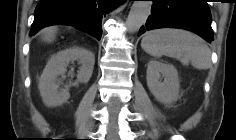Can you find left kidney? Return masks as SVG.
I'll list each match as a JSON object with an SVG mask.
<instances>
[{
  "label": "left kidney",
  "instance_id": "1",
  "mask_svg": "<svg viewBox=\"0 0 236 140\" xmlns=\"http://www.w3.org/2000/svg\"><path fill=\"white\" fill-rule=\"evenodd\" d=\"M161 76L164 81L161 82ZM147 86L157 101L169 104L178 99L179 78L173 65L151 60L147 65Z\"/></svg>",
  "mask_w": 236,
  "mask_h": 140
}]
</instances>
